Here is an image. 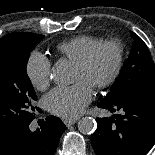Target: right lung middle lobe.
Here are the masks:
<instances>
[{
  "label": "right lung middle lobe",
  "mask_w": 155,
  "mask_h": 155,
  "mask_svg": "<svg viewBox=\"0 0 155 155\" xmlns=\"http://www.w3.org/2000/svg\"><path fill=\"white\" fill-rule=\"evenodd\" d=\"M43 38L14 32L0 39V130L19 128L34 119L37 97L26 66L30 52Z\"/></svg>",
  "instance_id": "dd1d6c3e"
}]
</instances>
